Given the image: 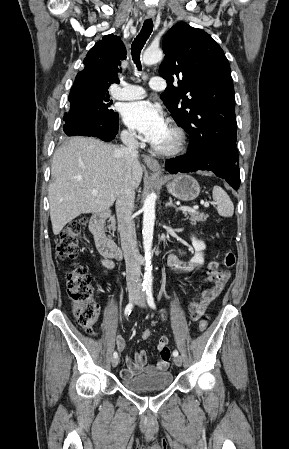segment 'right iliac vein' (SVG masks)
Here are the masks:
<instances>
[{"label": "right iliac vein", "mask_w": 289, "mask_h": 449, "mask_svg": "<svg viewBox=\"0 0 289 449\" xmlns=\"http://www.w3.org/2000/svg\"><path fill=\"white\" fill-rule=\"evenodd\" d=\"M136 298H137L136 293L132 292V293L129 294V301L130 302H134ZM118 363H119V358H113L112 359V366L113 367H116L118 365Z\"/></svg>", "instance_id": "right-iliac-vein-1"}]
</instances>
